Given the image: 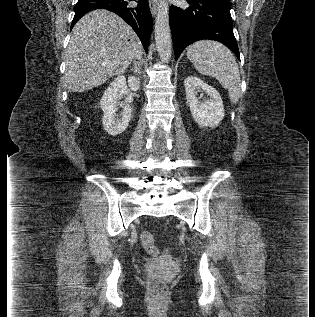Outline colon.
<instances>
[{
    "mask_svg": "<svg viewBox=\"0 0 315 317\" xmlns=\"http://www.w3.org/2000/svg\"><path fill=\"white\" fill-rule=\"evenodd\" d=\"M141 241L143 247L150 255H156L158 253V249L155 245V241L151 232L143 231L141 234ZM147 282L151 293L155 298H161L166 294L167 286L165 282L159 277L150 275Z\"/></svg>",
    "mask_w": 315,
    "mask_h": 317,
    "instance_id": "colon-1",
    "label": "colon"
}]
</instances>
